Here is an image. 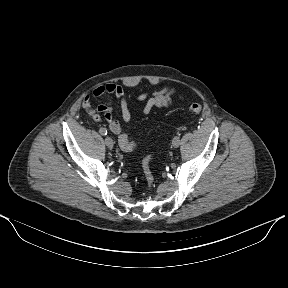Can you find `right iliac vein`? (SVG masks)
Returning a JSON list of instances; mask_svg holds the SVG:
<instances>
[{
    "instance_id": "obj_1",
    "label": "right iliac vein",
    "mask_w": 288,
    "mask_h": 288,
    "mask_svg": "<svg viewBox=\"0 0 288 288\" xmlns=\"http://www.w3.org/2000/svg\"><path fill=\"white\" fill-rule=\"evenodd\" d=\"M105 144L107 147L112 148L114 145V142H113L112 138L107 136V137H105Z\"/></svg>"
}]
</instances>
